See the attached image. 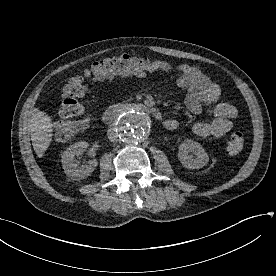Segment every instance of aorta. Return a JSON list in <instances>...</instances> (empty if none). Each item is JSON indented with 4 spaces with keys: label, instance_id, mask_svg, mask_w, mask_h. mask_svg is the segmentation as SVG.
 Returning <instances> with one entry per match:
<instances>
[{
    "label": "aorta",
    "instance_id": "obj_1",
    "mask_svg": "<svg viewBox=\"0 0 276 276\" xmlns=\"http://www.w3.org/2000/svg\"><path fill=\"white\" fill-rule=\"evenodd\" d=\"M120 137L128 143L142 141L149 130L146 113L138 108H128L119 117L117 125Z\"/></svg>",
    "mask_w": 276,
    "mask_h": 276
}]
</instances>
